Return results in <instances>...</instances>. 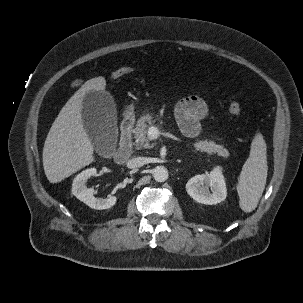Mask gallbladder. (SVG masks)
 <instances>
[{"instance_id":"bac80fb5","label":"gallbladder","mask_w":303,"mask_h":303,"mask_svg":"<svg viewBox=\"0 0 303 303\" xmlns=\"http://www.w3.org/2000/svg\"><path fill=\"white\" fill-rule=\"evenodd\" d=\"M84 128L99 154L112 152L117 141L116 107L112 96L105 91L86 93L82 102Z\"/></svg>"}]
</instances>
